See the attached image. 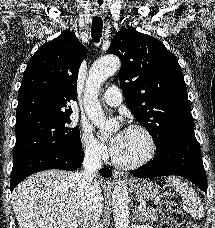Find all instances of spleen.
Instances as JSON below:
<instances>
[{"label": "spleen", "mask_w": 215, "mask_h": 228, "mask_svg": "<svg viewBox=\"0 0 215 228\" xmlns=\"http://www.w3.org/2000/svg\"><path fill=\"white\" fill-rule=\"evenodd\" d=\"M166 180L167 182H170L175 192H179V194H181L182 200L184 204H186L187 210L189 214H191L192 218H195V220L203 218V204L199 196H197L196 192H194L193 188H190L189 184H186L183 180H179L177 176H168Z\"/></svg>", "instance_id": "obj_1"}]
</instances>
